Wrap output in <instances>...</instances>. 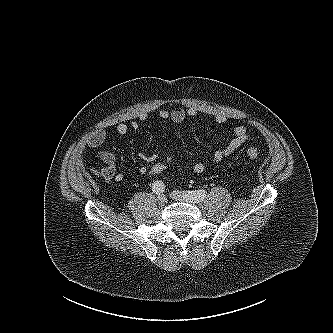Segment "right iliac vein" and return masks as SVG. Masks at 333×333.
<instances>
[{
    "label": "right iliac vein",
    "mask_w": 333,
    "mask_h": 333,
    "mask_svg": "<svg viewBox=\"0 0 333 333\" xmlns=\"http://www.w3.org/2000/svg\"><path fill=\"white\" fill-rule=\"evenodd\" d=\"M167 202V198L164 194H159L158 195V203L160 205H164Z\"/></svg>",
    "instance_id": "1"
}]
</instances>
